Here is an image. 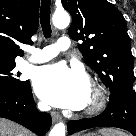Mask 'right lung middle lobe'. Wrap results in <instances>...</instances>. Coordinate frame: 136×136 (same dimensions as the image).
Instances as JSON below:
<instances>
[{
    "label": "right lung middle lobe",
    "instance_id": "right-lung-middle-lobe-1",
    "mask_svg": "<svg viewBox=\"0 0 136 136\" xmlns=\"http://www.w3.org/2000/svg\"><path fill=\"white\" fill-rule=\"evenodd\" d=\"M15 62L0 64V94L21 90L28 81H20L19 73L14 71Z\"/></svg>",
    "mask_w": 136,
    "mask_h": 136
}]
</instances>
